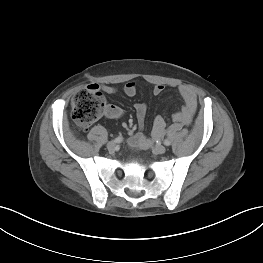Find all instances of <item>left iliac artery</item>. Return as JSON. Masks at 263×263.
<instances>
[{"instance_id": "obj_1", "label": "left iliac artery", "mask_w": 263, "mask_h": 263, "mask_svg": "<svg viewBox=\"0 0 263 263\" xmlns=\"http://www.w3.org/2000/svg\"><path fill=\"white\" fill-rule=\"evenodd\" d=\"M163 143H164V145H166V146L171 145V142H170L168 139H165V140L163 141Z\"/></svg>"}]
</instances>
